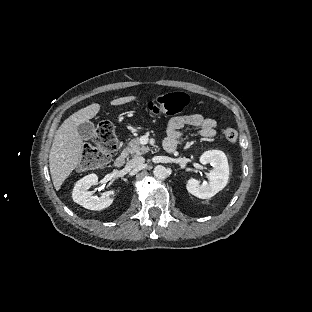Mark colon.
Listing matches in <instances>:
<instances>
[{
    "instance_id": "5ec220e1",
    "label": "colon",
    "mask_w": 312,
    "mask_h": 312,
    "mask_svg": "<svg viewBox=\"0 0 312 312\" xmlns=\"http://www.w3.org/2000/svg\"><path fill=\"white\" fill-rule=\"evenodd\" d=\"M188 103V97L184 92L166 93L158 100L147 102L142 108L156 115L175 114L181 112ZM217 119L225 121L224 115H218ZM224 136L230 144L237 142L238 135L234 128L227 126ZM93 138L98 146L97 150L86 149L82 152L81 161L85 167H102L111 160V154L116 150L118 140L114 125L109 120H102L94 129Z\"/></svg>"
}]
</instances>
